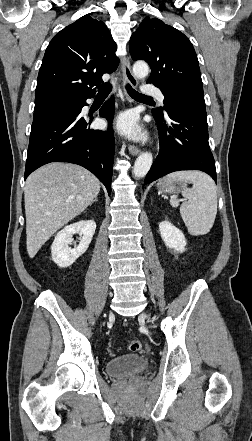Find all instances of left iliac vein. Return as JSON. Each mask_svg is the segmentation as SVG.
I'll return each mask as SVG.
<instances>
[{
  "mask_svg": "<svg viewBox=\"0 0 252 441\" xmlns=\"http://www.w3.org/2000/svg\"><path fill=\"white\" fill-rule=\"evenodd\" d=\"M141 317H143V318H147L148 316H147V314L143 313V314L141 315Z\"/></svg>",
  "mask_w": 252,
  "mask_h": 441,
  "instance_id": "obj_1",
  "label": "left iliac vein"
}]
</instances>
